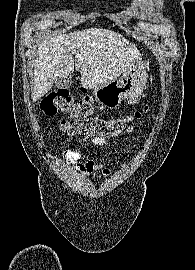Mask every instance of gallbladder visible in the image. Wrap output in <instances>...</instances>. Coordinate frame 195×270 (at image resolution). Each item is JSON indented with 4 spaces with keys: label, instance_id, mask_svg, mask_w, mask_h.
Listing matches in <instances>:
<instances>
[{
    "label": "gallbladder",
    "instance_id": "obj_1",
    "mask_svg": "<svg viewBox=\"0 0 195 270\" xmlns=\"http://www.w3.org/2000/svg\"><path fill=\"white\" fill-rule=\"evenodd\" d=\"M56 88L67 89L72 84V77H59L57 80L54 81Z\"/></svg>",
    "mask_w": 195,
    "mask_h": 270
}]
</instances>
